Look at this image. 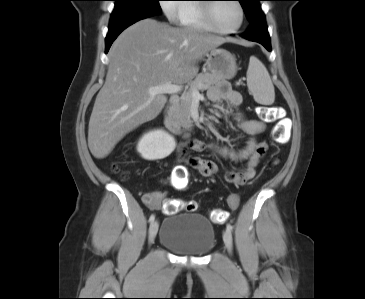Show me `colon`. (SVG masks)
Here are the masks:
<instances>
[{"label":"colon","mask_w":365,"mask_h":299,"mask_svg":"<svg viewBox=\"0 0 365 299\" xmlns=\"http://www.w3.org/2000/svg\"><path fill=\"white\" fill-rule=\"evenodd\" d=\"M260 116L264 121L276 122V125L272 131V138L279 143L285 142L287 139V128L283 123V111L278 106H261ZM114 170L118 171V167L114 166ZM175 187L179 190H183L187 186V179L185 174L177 173L174 177ZM228 204L231 209H236L239 204V197L236 194L230 195ZM185 209L187 211H195L197 209V203L194 201L184 202L181 200H169L163 207L165 214H175L178 211ZM228 213L226 210L216 208L211 212V219L216 224H222L227 220Z\"/></svg>","instance_id":"colon-1"}]
</instances>
